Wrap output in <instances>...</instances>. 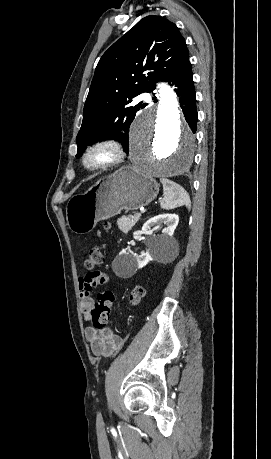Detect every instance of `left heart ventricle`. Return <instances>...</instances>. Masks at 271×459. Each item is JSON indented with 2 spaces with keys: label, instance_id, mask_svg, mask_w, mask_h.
Here are the masks:
<instances>
[{
  "label": "left heart ventricle",
  "instance_id": "obj_1",
  "mask_svg": "<svg viewBox=\"0 0 271 459\" xmlns=\"http://www.w3.org/2000/svg\"><path fill=\"white\" fill-rule=\"evenodd\" d=\"M109 155H110V150L108 148L106 147L98 148L90 156L89 162L92 164L98 163L106 159Z\"/></svg>",
  "mask_w": 271,
  "mask_h": 459
}]
</instances>
